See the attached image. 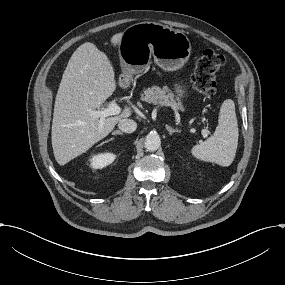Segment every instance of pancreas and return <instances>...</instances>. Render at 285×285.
I'll list each match as a JSON object with an SVG mask.
<instances>
[{
	"mask_svg": "<svg viewBox=\"0 0 285 285\" xmlns=\"http://www.w3.org/2000/svg\"><path fill=\"white\" fill-rule=\"evenodd\" d=\"M141 100L159 106H170L172 109L184 111L181 102L174 99V94L167 87L160 88L159 86H152L147 88L141 94Z\"/></svg>",
	"mask_w": 285,
	"mask_h": 285,
	"instance_id": "obj_1",
	"label": "pancreas"
}]
</instances>
